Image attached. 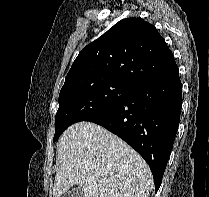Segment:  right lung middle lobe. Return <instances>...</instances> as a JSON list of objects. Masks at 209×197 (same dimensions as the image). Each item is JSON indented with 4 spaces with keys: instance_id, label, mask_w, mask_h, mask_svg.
I'll use <instances>...</instances> for the list:
<instances>
[{
    "instance_id": "obj_1",
    "label": "right lung middle lobe",
    "mask_w": 209,
    "mask_h": 197,
    "mask_svg": "<svg viewBox=\"0 0 209 197\" xmlns=\"http://www.w3.org/2000/svg\"><path fill=\"white\" fill-rule=\"evenodd\" d=\"M135 87L116 80L85 81L62 87L55 117V142L70 125L115 104Z\"/></svg>"
}]
</instances>
